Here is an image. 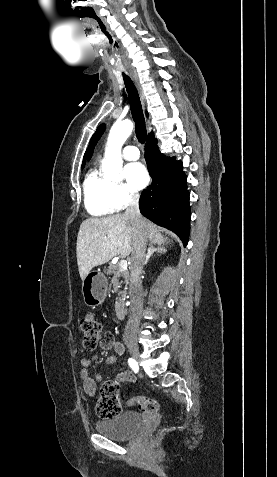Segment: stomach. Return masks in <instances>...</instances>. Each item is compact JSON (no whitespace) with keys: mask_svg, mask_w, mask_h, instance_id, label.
I'll list each match as a JSON object with an SVG mask.
<instances>
[{"mask_svg":"<svg viewBox=\"0 0 277 477\" xmlns=\"http://www.w3.org/2000/svg\"><path fill=\"white\" fill-rule=\"evenodd\" d=\"M108 282L103 273L90 271L82 281L83 301L87 306L101 305L107 294Z\"/></svg>","mask_w":277,"mask_h":477,"instance_id":"obj_1","label":"stomach"}]
</instances>
